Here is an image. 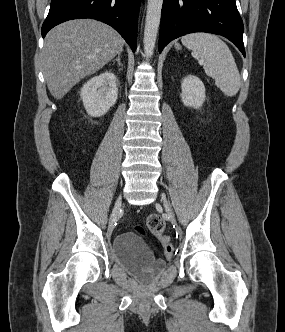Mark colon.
<instances>
[{"mask_svg": "<svg viewBox=\"0 0 285 332\" xmlns=\"http://www.w3.org/2000/svg\"><path fill=\"white\" fill-rule=\"evenodd\" d=\"M146 228L150 233L161 236L164 255L167 259L172 258L174 253L173 245L167 237L163 236V232L165 230L164 221L158 215L151 214L147 217ZM136 230L140 233H144V229L140 226L136 227Z\"/></svg>", "mask_w": 285, "mask_h": 332, "instance_id": "colon-1", "label": "colon"}]
</instances>
